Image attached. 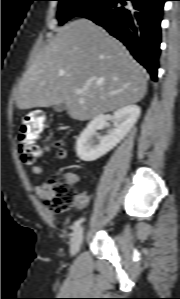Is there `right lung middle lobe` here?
<instances>
[{"label":"right lung middle lobe","mask_w":180,"mask_h":299,"mask_svg":"<svg viewBox=\"0 0 180 299\" xmlns=\"http://www.w3.org/2000/svg\"><path fill=\"white\" fill-rule=\"evenodd\" d=\"M59 1L58 20L63 25L74 16H80L103 0H57Z\"/></svg>","instance_id":"1"}]
</instances>
